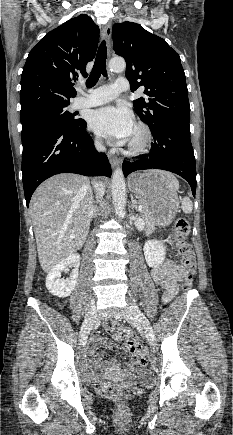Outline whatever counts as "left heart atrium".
Returning <instances> with one entry per match:
<instances>
[{"instance_id": "left-heart-atrium-1", "label": "left heart atrium", "mask_w": 233, "mask_h": 435, "mask_svg": "<svg viewBox=\"0 0 233 435\" xmlns=\"http://www.w3.org/2000/svg\"><path fill=\"white\" fill-rule=\"evenodd\" d=\"M89 124L97 134L119 143L128 139L134 130L132 115L121 103L94 110Z\"/></svg>"}]
</instances>
